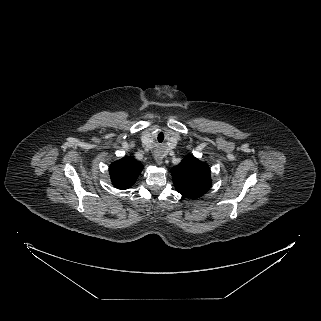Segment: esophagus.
I'll use <instances>...</instances> for the list:
<instances>
[{"label": "esophagus", "mask_w": 321, "mask_h": 321, "mask_svg": "<svg viewBox=\"0 0 321 321\" xmlns=\"http://www.w3.org/2000/svg\"><path fill=\"white\" fill-rule=\"evenodd\" d=\"M154 158L157 164L161 165L163 163V157L161 154H156Z\"/></svg>", "instance_id": "34e87169"}]
</instances>
